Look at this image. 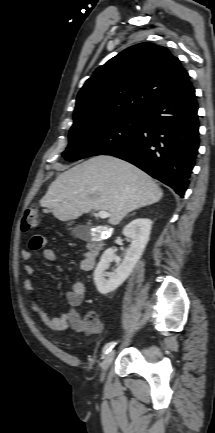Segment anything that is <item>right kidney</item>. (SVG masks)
<instances>
[{"label": "right kidney", "instance_id": "right-kidney-1", "mask_svg": "<svg viewBox=\"0 0 215 433\" xmlns=\"http://www.w3.org/2000/svg\"><path fill=\"white\" fill-rule=\"evenodd\" d=\"M152 224L153 222L148 218H137L125 226L123 234L131 239V245L114 274L106 272L114 259V248H109L103 253L94 271V281L101 294L105 295L116 290L130 276L149 241ZM106 276L108 279L105 278Z\"/></svg>", "mask_w": 215, "mask_h": 433}]
</instances>
